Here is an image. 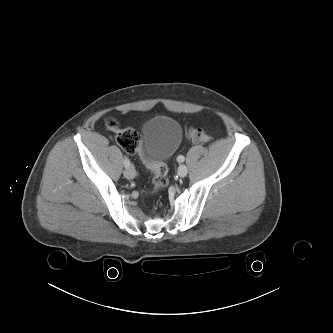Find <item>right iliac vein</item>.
Here are the masks:
<instances>
[{
  "instance_id": "63e3f726",
  "label": "right iliac vein",
  "mask_w": 333,
  "mask_h": 333,
  "mask_svg": "<svg viewBox=\"0 0 333 333\" xmlns=\"http://www.w3.org/2000/svg\"><path fill=\"white\" fill-rule=\"evenodd\" d=\"M136 175L135 169L133 166L128 167L125 171H124V176L127 179H133Z\"/></svg>"
}]
</instances>
